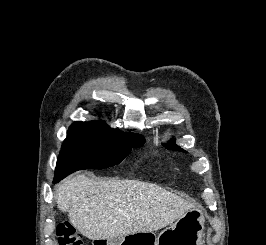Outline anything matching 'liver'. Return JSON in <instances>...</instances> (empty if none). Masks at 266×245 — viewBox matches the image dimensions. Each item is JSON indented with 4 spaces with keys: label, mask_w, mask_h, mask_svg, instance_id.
<instances>
[{
    "label": "liver",
    "mask_w": 266,
    "mask_h": 245,
    "mask_svg": "<svg viewBox=\"0 0 266 245\" xmlns=\"http://www.w3.org/2000/svg\"><path fill=\"white\" fill-rule=\"evenodd\" d=\"M56 205L87 239H118L123 235L159 231L172 225L193 203L143 181H94L86 175L66 179L55 191Z\"/></svg>",
    "instance_id": "6515ba94"
}]
</instances>
